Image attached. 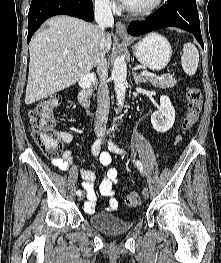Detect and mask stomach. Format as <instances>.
Listing matches in <instances>:
<instances>
[{"mask_svg":"<svg viewBox=\"0 0 221 263\" xmlns=\"http://www.w3.org/2000/svg\"><path fill=\"white\" fill-rule=\"evenodd\" d=\"M137 60L151 70L159 71L169 63L172 49L169 41L157 33H150L133 46Z\"/></svg>","mask_w":221,"mask_h":263,"instance_id":"stomach-1","label":"stomach"}]
</instances>
